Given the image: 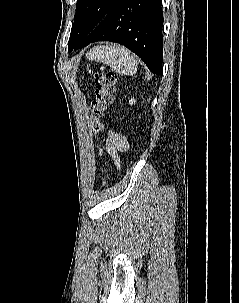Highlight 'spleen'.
<instances>
[{
  "label": "spleen",
  "instance_id": "1",
  "mask_svg": "<svg viewBox=\"0 0 239 303\" xmlns=\"http://www.w3.org/2000/svg\"><path fill=\"white\" fill-rule=\"evenodd\" d=\"M87 58L106 64L122 75H133L137 70L138 60L127 48L114 45H100L87 53Z\"/></svg>",
  "mask_w": 239,
  "mask_h": 303
}]
</instances>
